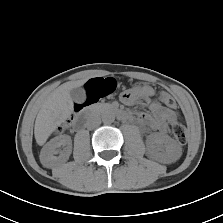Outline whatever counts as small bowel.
Wrapping results in <instances>:
<instances>
[{
	"instance_id": "1",
	"label": "small bowel",
	"mask_w": 223,
	"mask_h": 223,
	"mask_svg": "<svg viewBox=\"0 0 223 223\" xmlns=\"http://www.w3.org/2000/svg\"><path fill=\"white\" fill-rule=\"evenodd\" d=\"M121 100L125 104H133L137 100L142 101L151 114L141 113L137 121L155 131L164 132L168 124L175 123L178 118L174 110L165 108L156 100L155 91L151 87H145L133 93H124Z\"/></svg>"
}]
</instances>
